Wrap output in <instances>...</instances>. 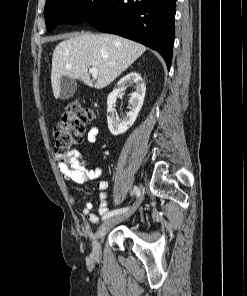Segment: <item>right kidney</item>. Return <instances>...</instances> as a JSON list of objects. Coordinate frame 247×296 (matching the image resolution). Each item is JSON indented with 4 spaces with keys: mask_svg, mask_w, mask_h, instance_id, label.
Returning <instances> with one entry per match:
<instances>
[{
    "mask_svg": "<svg viewBox=\"0 0 247 296\" xmlns=\"http://www.w3.org/2000/svg\"><path fill=\"white\" fill-rule=\"evenodd\" d=\"M135 83V92L131 93L129 100L130 111L126 117L121 120L115 116L113 106L119 93H122L128 84ZM146 87L141 76L136 72H130L117 83V87L109 94L107 98V122L111 134L117 136L126 132L135 122L145 97Z\"/></svg>",
    "mask_w": 247,
    "mask_h": 296,
    "instance_id": "1",
    "label": "right kidney"
}]
</instances>
